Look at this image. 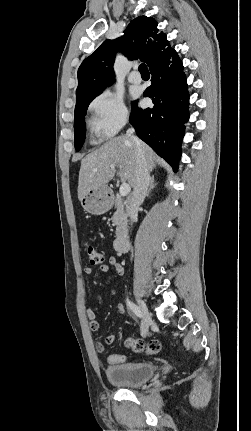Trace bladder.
I'll list each match as a JSON object with an SVG mask.
<instances>
[{"instance_id":"obj_1","label":"bladder","mask_w":251,"mask_h":431,"mask_svg":"<svg viewBox=\"0 0 251 431\" xmlns=\"http://www.w3.org/2000/svg\"><path fill=\"white\" fill-rule=\"evenodd\" d=\"M108 381L115 386L138 387L155 374V367L150 362H128L109 365L105 368Z\"/></svg>"}]
</instances>
